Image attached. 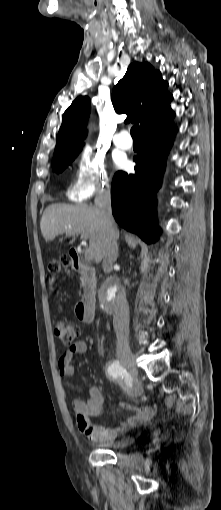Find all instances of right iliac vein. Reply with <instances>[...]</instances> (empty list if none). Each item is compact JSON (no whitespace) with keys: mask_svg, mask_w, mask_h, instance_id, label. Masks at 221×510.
Returning a JSON list of instances; mask_svg holds the SVG:
<instances>
[{"mask_svg":"<svg viewBox=\"0 0 221 510\" xmlns=\"http://www.w3.org/2000/svg\"><path fill=\"white\" fill-rule=\"evenodd\" d=\"M119 360L122 365L128 370L130 375L136 380L135 392L139 393L140 384L138 382V369L135 363V358L131 352H123L119 354Z\"/></svg>","mask_w":221,"mask_h":510,"instance_id":"obj_1","label":"right iliac vein"}]
</instances>
